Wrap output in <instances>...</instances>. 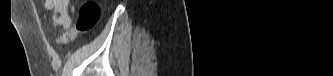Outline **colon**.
<instances>
[{
    "label": "colon",
    "instance_id": "colon-1",
    "mask_svg": "<svg viewBox=\"0 0 333 76\" xmlns=\"http://www.w3.org/2000/svg\"><path fill=\"white\" fill-rule=\"evenodd\" d=\"M99 17V5L95 1L84 2L75 26L63 35L61 42L63 44L70 43L78 34L89 32L97 24Z\"/></svg>",
    "mask_w": 333,
    "mask_h": 76
}]
</instances>
